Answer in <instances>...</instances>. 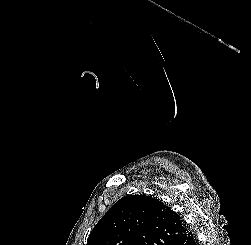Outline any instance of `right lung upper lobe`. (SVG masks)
Masks as SVG:
<instances>
[{
	"label": "right lung upper lobe",
	"instance_id": "right-lung-upper-lobe-1",
	"mask_svg": "<svg viewBox=\"0 0 251 245\" xmlns=\"http://www.w3.org/2000/svg\"><path fill=\"white\" fill-rule=\"evenodd\" d=\"M187 231L184 220L160 200L128 195L100 219L87 245H169Z\"/></svg>",
	"mask_w": 251,
	"mask_h": 245
}]
</instances>
